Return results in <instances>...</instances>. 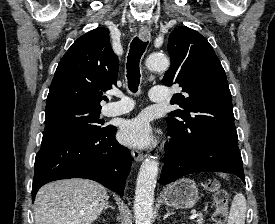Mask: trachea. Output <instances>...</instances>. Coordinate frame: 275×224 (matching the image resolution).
I'll list each match as a JSON object with an SVG mask.
<instances>
[{
  "label": "trachea",
  "instance_id": "1",
  "mask_svg": "<svg viewBox=\"0 0 275 224\" xmlns=\"http://www.w3.org/2000/svg\"><path fill=\"white\" fill-rule=\"evenodd\" d=\"M148 42H143L138 37H135L131 44L130 50L127 57V80H128V87L130 91L136 93L140 84V68L139 62L141 56L143 55Z\"/></svg>",
  "mask_w": 275,
  "mask_h": 224
}]
</instances>
